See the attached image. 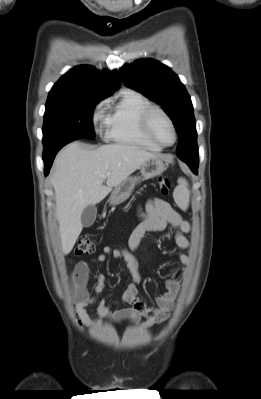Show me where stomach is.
<instances>
[{
	"label": "stomach",
	"instance_id": "obj_1",
	"mask_svg": "<svg viewBox=\"0 0 261 399\" xmlns=\"http://www.w3.org/2000/svg\"><path fill=\"white\" fill-rule=\"evenodd\" d=\"M139 169L141 176L128 177L114 187L108 200L110 205H118L127 200L141 180L161 175L165 170V165L160 158L156 157L145 161Z\"/></svg>",
	"mask_w": 261,
	"mask_h": 399
}]
</instances>
